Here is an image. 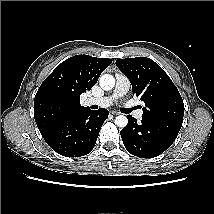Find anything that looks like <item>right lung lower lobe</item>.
Segmentation results:
<instances>
[{"label":"right lung lower lobe","mask_w":214,"mask_h":214,"mask_svg":"<svg viewBox=\"0 0 214 214\" xmlns=\"http://www.w3.org/2000/svg\"><path fill=\"white\" fill-rule=\"evenodd\" d=\"M108 115L106 109L93 111L88 108L67 117L42 136L62 156H84L93 149Z\"/></svg>","instance_id":"98d812e1"}]
</instances>
